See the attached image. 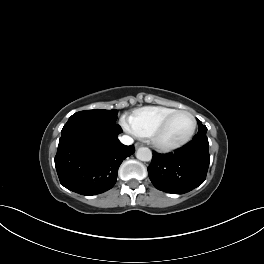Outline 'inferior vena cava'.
Masks as SVG:
<instances>
[{
	"instance_id": "602c4592",
	"label": "inferior vena cava",
	"mask_w": 264,
	"mask_h": 264,
	"mask_svg": "<svg viewBox=\"0 0 264 264\" xmlns=\"http://www.w3.org/2000/svg\"><path fill=\"white\" fill-rule=\"evenodd\" d=\"M119 139H120L121 143L124 145H131L134 142V140L128 135H123Z\"/></svg>"
}]
</instances>
